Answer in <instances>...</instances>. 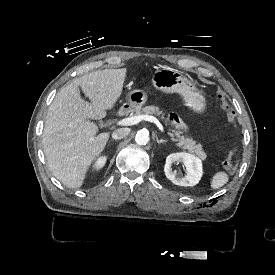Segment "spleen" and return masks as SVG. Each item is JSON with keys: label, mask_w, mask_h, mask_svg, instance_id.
<instances>
[{"label": "spleen", "mask_w": 275, "mask_h": 275, "mask_svg": "<svg viewBox=\"0 0 275 275\" xmlns=\"http://www.w3.org/2000/svg\"><path fill=\"white\" fill-rule=\"evenodd\" d=\"M229 180L228 175L225 172H217L211 181V187L213 189H218L224 186Z\"/></svg>", "instance_id": "3e777b00"}]
</instances>
